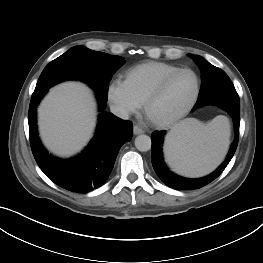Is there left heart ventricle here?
Wrapping results in <instances>:
<instances>
[{"mask_svg":"<svg viewBox=\"0 0 263 263\" xmlns=\"http://www.w3.org/2000/svg\"><path fill=\"white\" fill-rule=\"evenodd\" d=\"M195 85V77L190 72H183L174 77L151 106V117L166 119L177 114L192 97Z\"/></svg>","mask_w":263,"mask_h":263,"instance_id":"b2bd125f","label":"left heart ventricle"}]
</instances>
